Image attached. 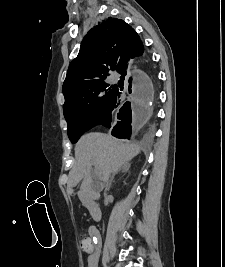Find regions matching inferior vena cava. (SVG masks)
<instances>
[{
  "mask_svg": "<svg viewBox=\"0 0 225 267\" xmlns=\"http://www.w3.org/2000/svg\"><path fill=\"white\" fill-rule=\"evenodd\" d=\"M105 182H106V188H105V189L107 190V185H108V183H109V182H108V179H106Z\"/></svg>",
  "mask_w": 225,
  "mask_h": 267,
  "instance_id": "obj_1",
  "label": "inferior vena cava"
}]
</instances>
